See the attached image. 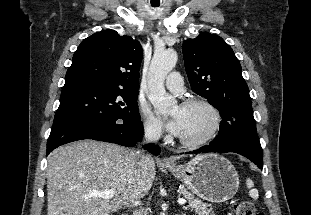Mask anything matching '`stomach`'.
<instances>
[{"mask_svg": "<svg viewBox=\"0 0 311 215\" xmlns=\"http://www.w3.org/2000/svg\"><path fill=\"white\" fill-rule=\"evenodd\" d=\"M168 170L193 194L212 203L232 199L239 188L234 166L218 154L199 155L183 166H169Z\"/></svg>", "mask_w": 311, "mask_h": 215, "instance_id": "0dacf381", "label": "stomach"}]
</instances>
